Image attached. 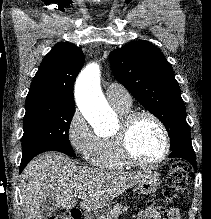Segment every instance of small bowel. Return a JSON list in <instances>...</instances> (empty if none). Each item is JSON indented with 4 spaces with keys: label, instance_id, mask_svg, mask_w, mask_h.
<instances>
[{
    "label": "small bowel",
    "instance_id": "small-bowel-1",
    "mask_svg": "<svg viewBox=\"0 0 211 219\" xmlns=\"http://www.w3.org/2000/svg\"><path fill=\"white\" fill-rule=\"evenodd\" d=\"M137 219H180V217L175 209L163 210L158 205L150 203L138 214Z\"/></svg>",
    "mask_w": 211,
    "mask_h": 219
}]
</instances>
